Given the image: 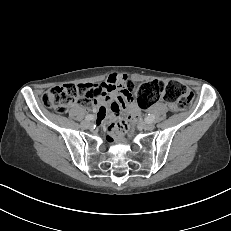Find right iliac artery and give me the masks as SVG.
<instances>
[{
    "mask_svg": "<svg viewBox=\"0 0 231 231\" xmlns=\"http://www.w3.org/2000/svg\"><path fill=\"white\" fill-rule=\"evenodd\" d=\"M86 120H93L94 119V116L93 115H91V114H89V115H87L86 117Z\"/></svg>",
    "mask_w": 231,
    "mask_h": 231,
    "instance_id": "82829eb1",
    "label": "right iliac artery"
}]
</instances>
